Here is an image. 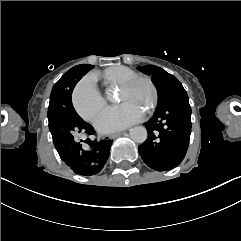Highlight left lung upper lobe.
Returning a JSON list of instances; mask_svg holds the SVG:
<instances>
[{
  "label": "left lung upper lobe",
  "mask_w": 241,
  "mask_h": 241,
  "mask_svg": "<svg viewBox=\"0 0 241 241\" xmlns=\"http://www.w3.org/2000/svg\"><path fill=\"white\" fill-rule=\"evenodd\" d=\"M138 69L143 73L152 76V81L158 91V106L167 101L173 95L186 92L178 79L162 68L148 65L138 67Z\"/></svg>",
  "instance_id": "left-lung-upper-lobe-1"
}]
</instances>
